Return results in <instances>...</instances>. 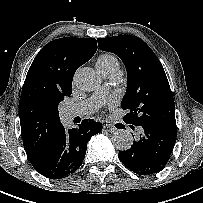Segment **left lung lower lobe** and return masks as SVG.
<instances>
[{"label": "left lung lower lobe", "mask_w": 203, "mask_h": 203, "mask_svg": "<svg viewBox=\"0 0 203 203\" xmlns=\"http://www.w3.org/2000/svg\"><path fill=\"white\" fill-rule=\"evenodd\" d=\"M135 125H130L133 129ZM140 136L131 148L119 152L120 161L138 175L160 172L168 162L176 142V128L153 123L137 126Z\"/></svg>", "instance_id": "left-lung-lower-lobe-1"}]
</instances>
